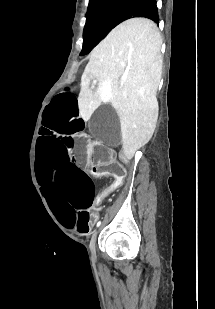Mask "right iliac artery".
<instances>
[{"instance_id":"1","label":"right iliac artery","mask_w":215,"mask_h":309,"mask_svg":"<svg viewBox=\"0 0 215 309\" xmlns=\"http://www.w3.org/2000/svg\"><path fill=\"white\" fill-rule=\"evenodd\" d=\"M100 224H101V222L99 221V222L97 223V227L100 226Z\"/></svg>"}]
</instances>
